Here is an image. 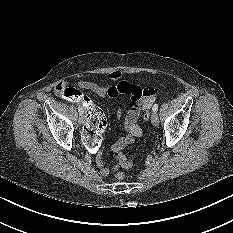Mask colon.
Listing matches in <instances>:
<instances>
[{"instance_id":"colon-1","label":"colon","mask_w":233,"mask_h":233,"mask_svg":"<svg viewBox=\"0 0 233 233\" xmlns=\"http://www.w3.org/2000/svg\"><path fill=\"white\" fill-rule=\"evenodd\" d=\"M148 94L156 93L154 90H149ZM63 96L68 101H75L79 105H84L88 117L89 126H87L82 134V140L85 145L86 151L89 155L94 156L98 153L102 142V136L106 128V118L103 112L96 107L83 92L78 91L75 88L68 87L63 90ZM149 109L144 112V119L147 120L149 117ZM119 165L123 168L129 169L133 166V161L127 159L122 152L114 153ZM117 179H123V173H117Z\"/></svg>"}]
</instances>
